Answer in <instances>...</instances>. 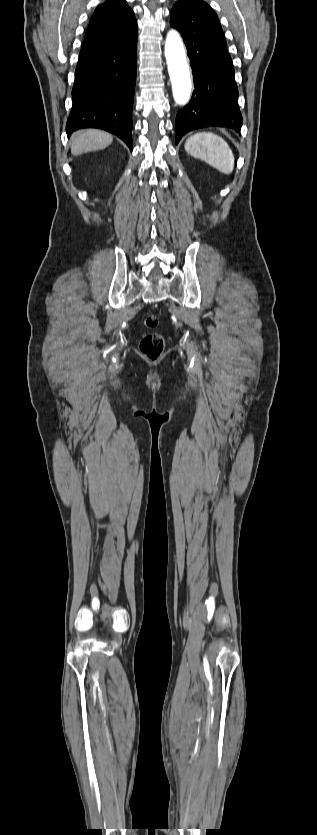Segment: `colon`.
<instances>
[{"label": "colon", "mask_w": 317, "mask_h": 835, "mask_svg": "<svg viewBox=\"0 0 317 835\" xmlns=\"http://www.w3.org/2000/svg\"><path fill=\"white\" fill-rule=\"evenodd\" d=\"M143 324L146 328H154L158 324V319L154 315H148L143 319ZM164 346L165 339L163 335L159 333H151L142 338L140 342V351L145 357L149 359H156L162 354Z\"/></svg>", "instance_id": "1"}]
</instances>
